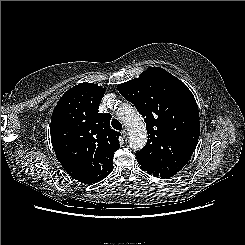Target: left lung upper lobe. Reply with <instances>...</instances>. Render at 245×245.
Masks as SVG:
<instances>
[{
  "label": "left lung upper lobe",
  "instance_id": "1",
  "mask_svg": "<svg viewBox=\"0 0 245 245\" xmlns=\"http://www.w3.org/2000/svg\"><path fill=\"white\" fill-rule=\"evenodd\" d=\"M117 90L144 117L146 146L135 153L142 170L169 178L192 156L200 133L199 111L188 87L159 67H149Z\"/></svg>",
  "mask_w": 245,
  "mask_h": 245
}]
</instances>
